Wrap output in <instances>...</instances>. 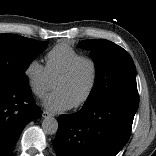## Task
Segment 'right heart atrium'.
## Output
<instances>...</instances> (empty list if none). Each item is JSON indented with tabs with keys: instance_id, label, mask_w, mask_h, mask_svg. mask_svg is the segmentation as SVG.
<instances>
[{
	"instance_id": "right-heart-atrium-1",
	"label": "right heart atrium",
	"mask_w": 156,
	"mask_h": 156,
	"mask_svg": "<svg viewBox=\"0 0 156 156\" xmlns=\"http://www.w3.org/2000/svg\"><path fill=\"white\" fill-rule=\"evenodd\" d=\"M24 76L29 89L36 97H43L52 86L46 67L36 59L26 65Z\"/></svg>"
}]
</instances>
